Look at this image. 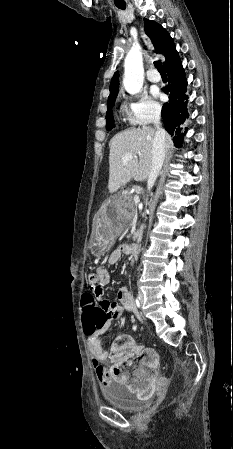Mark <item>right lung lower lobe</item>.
Returning <instances> with one entry per match:
<instances>
[{"label":"right lung lower lobe","instance_id":"obj_1","mask_svg":"<svg viewBox=\"0 0 233 449\" xmlns=\"http://www.w3.org/2000/svg\"><path fill=\"white\" fill-rule=\"evenodd\" d=\"M166 71L168 84L163 91L169 95V101L163 105L161 115L165 129L172 136L175 134L173 141L180 146L187 130L185 128V133H181V126L189 116L187 113L188 96L186 95L187 79L180 60L166 68Z\"/></svg>","mask_w":233,"mask_h":449}]
</instances>
